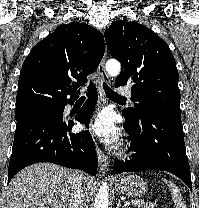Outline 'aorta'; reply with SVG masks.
Returning a JSON list of instances; mask_svg holds the SVG:
<instances>
[{
	"label": "aorta",
	"mask_w": 199,
	"mask_h": 208,
	"mask_svg": "<svg viewBox=\"0 0 199 208\" xmlns=\"http://www.w3.org/2000/svg\"><path fill=\"white\" fill-rule=\"evenodd\" d=\"M106 71L107 73L114 77L119 75L120 71H121V65L119 63V61L117 60H108L106 63ZM108 192H109V188H108V184L107 182H102L98 193L95 197V201H94V208H108Z\"/></svg>",
	"instance_id": "obj_1"
}]
</instances>
